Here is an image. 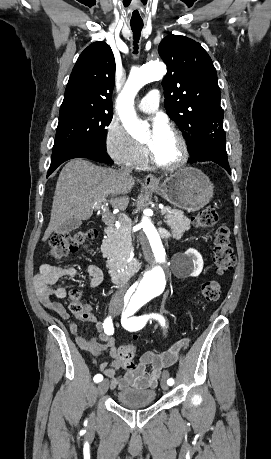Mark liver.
Here are the masks:
<instances>
[{"label": "liver", "mask_w": 271, "mask_h": 459, "mask_svg": "<svg viewBox=\"0 0 271 459\" xmlns=\"http://www.w3.org/2000/svg\"><path fill=\"white\" fill-rule=\"evenodd\" d=\"M134 184L135 178L130 174L95 166L84 158L70 160L57 180L50 224L42 237L43 241L50 237L54 229L71 218L89 220L94 208L109 196L112 208L126 210L128 198L125 194H129ZM117 194H123V198H113Z\"/></svg>", "instance_id": "liver-1"}]
</instances>
